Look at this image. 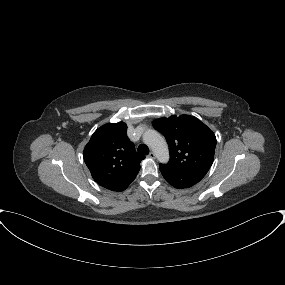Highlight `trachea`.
Here are the masks:
<instances>
[{
	"mask_svg": "<svg viewBox=\"0 0 285 285\" xmlns=\"http://www.w3.org/2000/svg\"><path fill=\"white\" fill-rule=\"evenodd\" d=\"M138 153L141 155H148L149 154V149L146 145L140 144L138 146Z\"/></svg>",
	"mask_w": 285,
	"mask_h": 285,
	"instance_id": "3493384b",
	"label": "trachea"
}]
</instances>
